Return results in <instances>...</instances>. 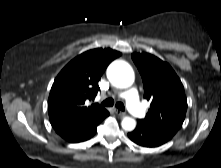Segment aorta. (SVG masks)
<instances>
[{"label":"aorta","instance_id":"1","mask_svg":"<svg viewBox=\"0 0 221 168\" xmlns=\"http://www.w3.org/2000/svg\"><path fill=\"white\" fill-rule=\"evenodd\" d=\"M107 77L118 88L130 87L135 78L132 67L123 60H115L109 65ZM121 125L125 131H132L136 127V121L131 117H124Z\"/></svg>","mask_w":221,"mask_h":168}]
</instances>
